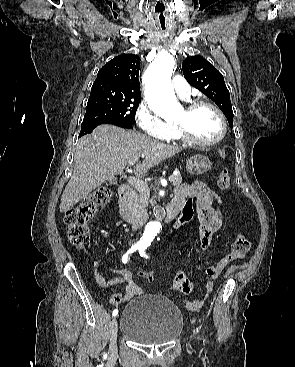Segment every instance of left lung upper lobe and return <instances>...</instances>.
Instances as JSON below:
<instances>
[{
	"instance_id": "1",
	"label": "left lung upper lobe",
	"mask_w": 295,
	"mask_h": 367,
	"mask_svg": "<svg viewBox=\"0 0 295 367\" xmlns=\"http://www.w3.org/2000/svg\"><path fill=\"white\" fill-rule=\"evenodd\" d=\"M182 69L189 84L209 97L221 109L232 128V105L223 75L201 56L186 58Z\"/></svg>"
}]
</instances>
